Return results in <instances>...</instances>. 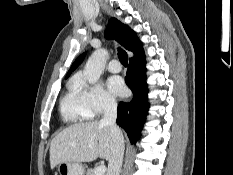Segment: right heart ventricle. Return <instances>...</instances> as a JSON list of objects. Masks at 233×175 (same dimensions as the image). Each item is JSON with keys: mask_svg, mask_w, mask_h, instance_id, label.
<instances>
[{"mask_svg": "<svg viewBox=\"0 0 233 175\" xmlns=\"http://www.w3.org/2000/svg\"><path fill=\"white\" fill-rule=\"evenodd\" d=\"M61 118L68 123H80L93 117L90 106L74 79L60 101Z\"/></svg>", "mask_w": 233, "mask_h": 175, "instance_id": "e07e8e85", "label": "right heart ventricle"}]
</instances>
